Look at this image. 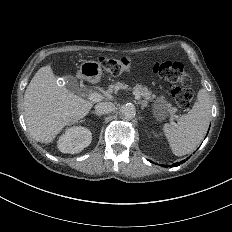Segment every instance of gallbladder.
<instances>
[{
  "label": "gallbladder",
  "instance_id": "obj_1",
  "mask_svg": "<svg viewBox=\"0 0 232 232\" xmlns=\"http://www.w3.org/2000/svg\"><path fill=\"white\" fill-rule=\"evenodd\" d=\"M64 87L72 92L77 93L79 91V84L75 77L73 76H65L63 77Z\"/></svg>",
  "mask_w": 232,
  "mask_h": 232
}]
</instances>
